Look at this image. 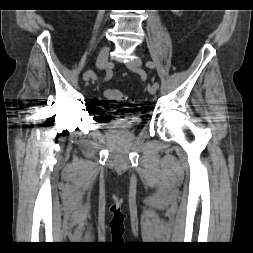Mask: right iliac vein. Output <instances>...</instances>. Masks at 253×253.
<instances>
[{
	"label": "right iliac vein",
	"mask_w": 253,
	"mask_h": 253,
	"mask_svg": "<svg viewBox=\"0 0 253 253\" xmlns=\"http://www.w3.org/2000/svg\"><path fill=\"white\" fill-rule=\"evenodd\" d=\"M109 51L110 48L108 45L103 46L102 49L100 50L96 63L99 69H104L106 67ZM89 78L90 74L88 72L84 73L83 79L86 81Z\"/></svg>",
	"instance_id": "63e3f726"
}]
</instances>
